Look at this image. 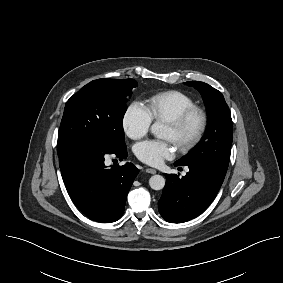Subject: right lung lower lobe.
<instances>
[{
	"mask_svg": "<svg viewBox=\"0 0 283 283\" xmlns=\"http://www.w3.org/2000/svg\"><path fill=\"white\" fill-rule=\"evenodd\" d=\"M127 157L126 146L107 149L80 145L59 156L67 191L75 205L90 219L109 223L118 220L125 208L130 187L139 170L132 164L107 167V155Z\"/></svg>",
	"mask_w": 283,
	"mask_h": 283,
	"instance_id": "1",
	"label": "right lung lower lobe"
}]
</instances>
